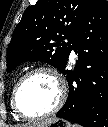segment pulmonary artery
Masks as SVG:
<instances>
[{
  "mask_svg": "<svg viewBox=\"0 0 108 127\" xmlns=\"http://www.w3.org/2000/svg\"><path fill=\"white\" fill-rule=\"evenodd\" d=\"M71 57H72V58L75 57V53H74V51H72V53H71Z\"/></svg>",
  "mask_w": 108,
  "mask_h": 127,
  "instance_id": "e3ab8cb5",
  "label": "pulmonary artery"
}]
</instances>
